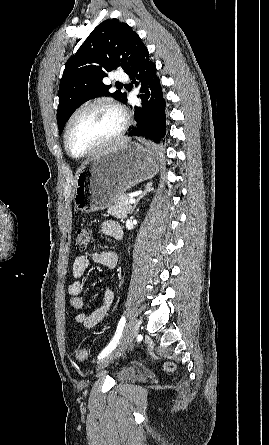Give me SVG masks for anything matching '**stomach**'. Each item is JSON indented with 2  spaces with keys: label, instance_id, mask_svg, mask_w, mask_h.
<instances>
[{
  "label": "stomach",
  "instance_id": "0dacf381",
  "mask_svg": "<svg viewBox=\"0 0 269 445\" xmlns=\"http://www.w3.org/2000/svg\"><path fill=\"white\" fill-rule=\"evenodd\" d=\"M162 160V154L150 144L136 142L101 152L88 160L76 176L75 208L86 213L107 208L131 187L151 179Z\"/></svg>",
  "mask_w": 269,
  "mask_h": 445
}]
</instances>
